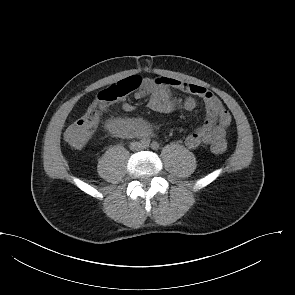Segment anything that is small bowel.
<instances>
[{
    "label": "small bowel",
    "mask_w": 295,
    "mask_h": 295,
    "mask_svg": "<svg viewBox=\"0 0 295 295\" xmlns=\"http://www.w3.org/2000/svg\"><path fill=\"white\" fill-rule=\"evenodd\" d=\"M172 90L184 92L188 96L181 100L172 94ZM145 96L149 97V109L164 114L178 109L193 110L198 102L202 101L206 110V119L201 126L186 136L185 144L194 149L201 145L212 146L217 142H226L231 115L222 101L205 87L163 76L145 78L142 79V85L134 97L141 99ZM122 108L126 112L134 110V106L129 102H124ZM109 128L120 137L143 136L150 131L147 123L140 118L114 119L109 122Z\"/></svg>",
    "instance_id": "obj_1"
}]
</instances>
